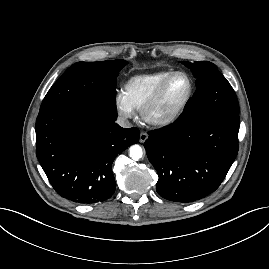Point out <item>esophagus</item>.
I'll list each match as a JSON object with an SVG mask.
<instances>
[{
    "label": "esophagus",
    "mask_w": 269,
    "mask_h": 269,
    "mask_svg": "<svg viewBox=\"0 0 269 269\" xmlns=\"http://www.w3.org/2000/svg\"><path fill=\"white\" fill-rule=\"evenodd\" d=\"M147 138H148V134L146 132L142 131L140 133L139 141L141 143H144L147 140Z\"/></svg>",
    "instance_id": "esophagus-1"
}]
</instances>
